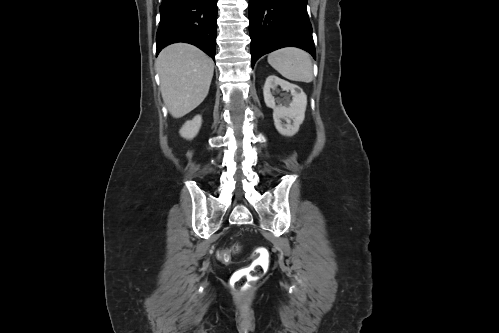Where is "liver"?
Instances as JSON below:
<instances>
[{
	"instance_id": "obj_1",
	"label": "liver",
	"mask_w": 499,
	"mask_h": 333,
	"mask_svg": "<svg viewBox=\"0 0 499 333\" xmlns=\"http://www.w3.org/2000/svg\"><path fill=\"white\" fill-rule=\"evenodd\" d=\"M162 98L174 118H181L207 96L214 72L213 60L197 47L175 43L157 60Z\"/></svg>"
}]
</instances>
